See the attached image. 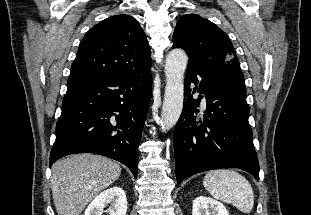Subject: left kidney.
Segmentation results:
<instances>
[{
	"label": "left kidney",
	"mask_w": 311,
	"mask_h": 215,
	"mask_svg": "<svg viewBox=\"0 0 311 215\" xmlns=\"http://www.w3.org/2000/svg\"><path fill=\"white\" fill-rule=\"evenodd\" d=\"M192 208V215H229L222 203L205 196L197 197Z\"/></svg>",
	"instance_id": "left-kidney-1"
}]
</instances>
